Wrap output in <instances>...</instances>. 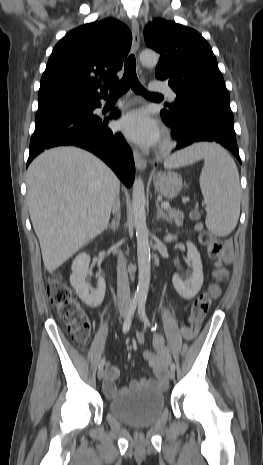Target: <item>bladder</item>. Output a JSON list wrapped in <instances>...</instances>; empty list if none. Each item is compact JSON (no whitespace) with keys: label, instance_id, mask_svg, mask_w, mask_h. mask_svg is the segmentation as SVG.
<instances>
[{"label":"bladder","instance_id":"bladder-1","mask_svg":"<svg viewBox=\"0 0 263 465\" xmlns=\"http://www.w3.org/2000/svg\"><path fill=\"white\" fill-rule=\"evenodd\" d=\"M165 408L162 392L139 388L119 394L108 403V412L121 423L134 428L154 425Z\"/></svg>","mask_w":263,"mask_h":465}]
</instances>
